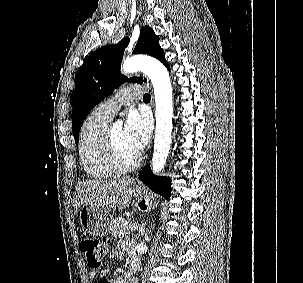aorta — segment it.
I'll return each instance as SVG.
<instances>
[{
    "mask_svg": "<svg viewBox=\"0 0 303 283\" xmlns=\"http://www.w3.org/2000/svg\"><path fill=\"white\" fill-rule=\"evenodd\" d=\"M122 71L125 74L142 71L152 82L156 102V129L152 170L154 174L158 175L166 164L172 141L173 106L169 73L160 61L143 55L125 60L122 65Z\"/></svg>",
    "mask_w": 303,
    "mask_h": 283,
    "instance_id": "aorta-1",
    "label": "aorta"
}]
</instances>
